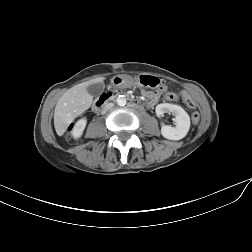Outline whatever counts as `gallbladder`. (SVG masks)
Listing matches in <instances>:
<instances>
[{
  "instance_id": "bac80fb5",
  "label": "gallbladder",
  "mask_w": 252,
  "mask_h": 252,
  "mask_svg": "<svg viewBox=\"0 0 252 252\" xmlns=\"http://www.w3.org/2000/svg\"><path fill=\"white\" fill-rule=\"evenodd\" d=\"M104 84L102 82H99V83H94V84H91L87 87V92L93 96V97H96L98 95H100L103 90H104Z\"/></svg>"
}]
</instances>
